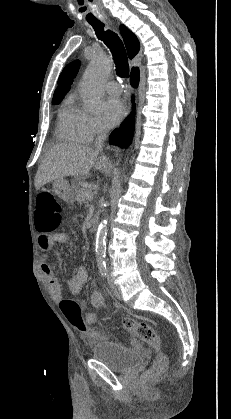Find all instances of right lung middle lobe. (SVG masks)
I'll list each match as a JSON object with an SVG mask.
<instances>
[{
  "label": "right lung middle lobe",
  "mask_w": 231,
  "mask_h": 419,
  "mask_svg": "<svg viewBox=\"0 0 231 419\" xmlns=\"http://www.w3.org/2000/svg\"><path fill=\"white\" fill-rule=\"evenodd\" d=\"M61 101V98L59 99H53L52 104H58Z\"/></svg>",
  "instance_id": "right-lung-middle-lobe-1"
}]
</instances>
